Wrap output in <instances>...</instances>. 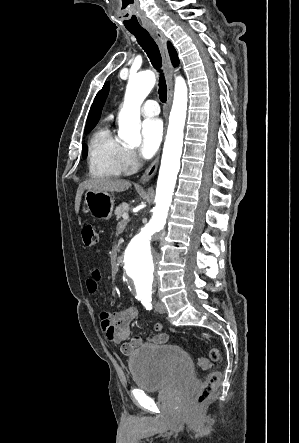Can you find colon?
I'll use <instances>...</instances> for the list:
<instances>
[{
    "instance_id": "obj_1",
    "label": "colon",
    "mask_w": 299,
    "mask_h": 443,
    "mask_svg": "<svg viewBox=\"0 0 299 443\" xmlns=\"http://www.w3.org/2000/svg\"><path fill=\"white\" fill-rule=\"evenodd\" d=\"M81 238L86 247H93L98 242V234L90 222H83L81 224ZM220 359V350L212 348L208 356H201L198 359V367L202 370H207L213 366ZM222 373L220 371H212L208 374L204 381L200 392L195 397V403L198 406L207 403L213 396L218 386L220 385Z\"/></svg>"
}]
</instances>
